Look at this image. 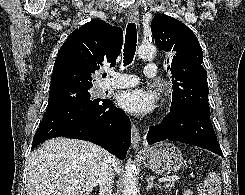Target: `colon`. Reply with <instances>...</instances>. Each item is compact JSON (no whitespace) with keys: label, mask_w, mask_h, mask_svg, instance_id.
<instances>
[{"label":"colon","mask_w":245,"mask_h":195,"mask_svg":"<svg viewBox=\"0 0 245 195\" xmlns=\"http://www.w3.org/2000/svg\"><path fill=\"white\" fill-rule=\"evenodd\" d=\"M220 179L208 172H205L204 180L198 187L199 195H220L221 193Z\"/></svg>","instance_id":"obj_1"}]
</instances>
